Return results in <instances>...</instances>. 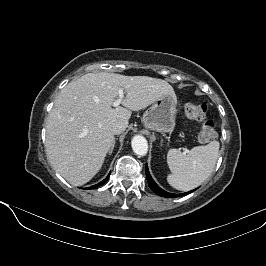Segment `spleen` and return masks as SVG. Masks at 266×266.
I'll use <instances>...</instances> for the list:
<instances>
[{"mask_svg":"<svg viewBox=\"0 0 266 266\" xmlns=\"http://www.w3.org/2000/svg\"><path fill=\"white\" fill-rule=\"evenodd\" d=\"M218 141H211L205 146H196L187 154L178 149H170L167 163L171 174L168 183L181 191L192 190L201 185L213 172L219 157Z\"/></svg>","mask_w":266,"mask_h":266,"instance_id":"1","label":"spleen"}]
</instances>
